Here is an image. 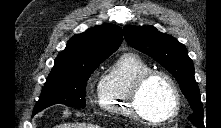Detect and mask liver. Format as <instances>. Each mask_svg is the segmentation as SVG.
I'll use <instances>...</instances> for the list:
<instances>
[{
  "label": "liver",
  "instance_id": "1",
  "mask_svg": "<svg viewBox=\"0 0 221 128\" xmlns=\"http://www.w3.org/2000/svg\"><path fill=\"white\" fill-rule=\"evenodd\" d=\"M55 128H99V127L97 125L82 122V123H73V124L64 123L57 125Z\"/></svg>",
  "mask_w": 221,
  "mask_h": 128
}]
</instances>
